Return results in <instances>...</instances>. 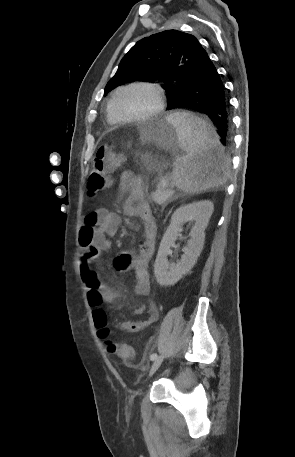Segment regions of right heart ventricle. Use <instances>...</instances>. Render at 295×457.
Returning <instances> with one entry per match:
<instances>
[{
	"label": "right heart ventricle",
	"instance_id": "1",
	"mask_svg": "<svg viewBox=\"0 0 295 457\" xmlns=\"http://www.w3.org/2000/svg\"><path fill=\"white\" fill-rule=\"evenodd\" d=\"M107 119L110 123H115V120H113V118L109 114L108 106H107Z\"/></svg>",
	"mask_w": 295,
	"mask_h": 457
}]
</instances>
